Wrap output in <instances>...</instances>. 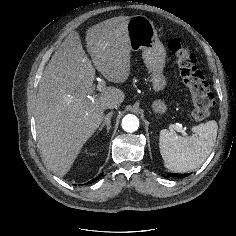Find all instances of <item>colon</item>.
Segmentation results:
<instances>
[{"label": "colon", "instance_id": "colon-1", "mask_svg": "<svg viewBox=\"0 0 236 236\" xmlns=\"http://www.w3.org/2000/svg\"><path fill=\"white\" fill-rule=\"evenodd\" d=\"M167 40L168 48L175 55L179 75L192 96L194 106L192 116L196 121L205 120L210 116L214 97L203 73L197 67V58L178 39L168 37Z\"/></svg>", "mask_w": 236, "mask_h": 236}]
</instances>
